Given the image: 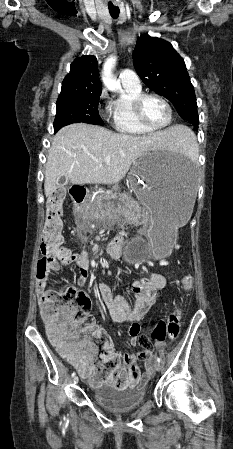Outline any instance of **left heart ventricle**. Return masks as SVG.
I'll return each mask as SVG.
<instances>
[{
    "label": "left heart ventricle",
    "mask_w": 233,
    "mask_h": 449,
    "mask_svg": "<svg viewBox=\"0 0 233 449\" xmlns=\"http://www.w3.org/2000/svg\"><path fill=\"white\" fill-rule=\"evenodd\" d=\"M143 115L153 126H161L168 120L166 106L156 98H148L143 104Z\"/></svg>",
    "instance_id": "left-heart-ventricle-1"
}]
</instances>
